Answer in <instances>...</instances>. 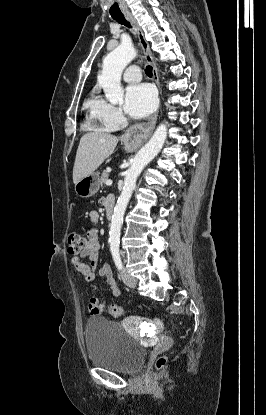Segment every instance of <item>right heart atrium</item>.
<instances>
[{"label": "right heart atrium", "instance_id": "right-heart-atrium-1", "mask_svg": "<svg viewBox=\"0 0 266 415\" xmlns=\"http://www.w3.org/2000/svg\"><path fill=\"white\" fill-rule=\"evenodd\" d=\"M90 110L92 117L98 120L105 129L118 128L125 122L122 110L105 99H94Z\"/></svg>", "mask_w": 266, "mask_h": 415}]
</instances>
